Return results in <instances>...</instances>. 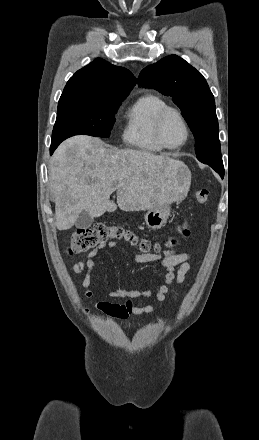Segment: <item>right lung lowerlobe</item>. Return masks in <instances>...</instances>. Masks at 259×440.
<instances>
[{
	"instance_id": "obj_1",
	"label": "right lung lower lobe",
	"mask_w": 259,
	"mask_h": 440,
	"mask_svg": "<svg viewBox=\"0 0 259 440\" xmlns=\"http://www.w3.org/2000/svg\"><path fill=\"white\" fill-rule=\"evenodd\" d=\"M59 144H60L59 142H51L50 154L54 152V150L57 148Z\"/></svg>"
}]
</instances>
